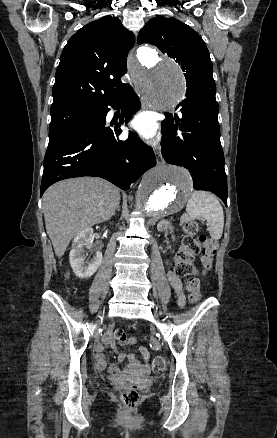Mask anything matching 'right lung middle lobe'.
Segmentation results:
<instances>
[{
  "instance_id": "right-lung-middle-lobe-1",
  "label": "right lung middle lobe",
  "mask_w": 277,
  "mask_h": 438,
  "mask_svg": "<svg viewBox=\"0 0 277 438\" xmlns=\"http://www.w3.org/2000/svg\"><path fill=\"white\" fill-rule=\"evenodd\" d=\"M95 113L93 108H81L67 111L51 112L49 137L76 124Z\"/></svg>"
}]
</instances>
